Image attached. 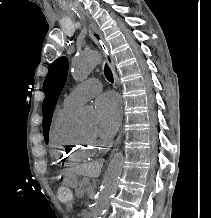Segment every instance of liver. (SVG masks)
<instances>
[{"mask_svg": "<svg viewBox=\"0 0 211 218\" xmlns=\"http://www.w3.org/2000/svg\"><path fill=\"white\" fill-rule=\"evenodd\" d=\"M101 168L102 164L92 162V164H85V166H81L80 172L83 176H88V178H98Z\"/></svg>", "mask_w": 211, "mask_h": 218, "instance_id": "obj_1", "label": "liver"}]
</instances>
